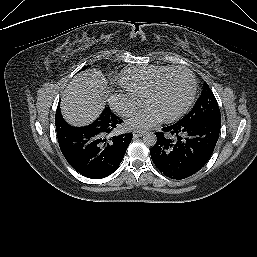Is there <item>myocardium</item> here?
I'll return each mask as SVG.
<instances>
[{
  "instance_id": "myocardium-1",
  "label": "myocardium",
  "mask_w": 257,
  "mask_h": 257,
  "mask_svg": "<svg viewBox=\"0 0 257 257\" xmlns=\"http://www.w3.org/2000/svg\"><path fill=\"white\" fill-rule=\"evenodd\" d=\"M177 72H183L189 76L190 82H191L190 90H189V93H188V96H187L185 102L175 112L162 116L164 121L175 120L176 118L181 116L183 113H185L188 110V108L190 107V105L192 104L193 99L195 97V93H196V87H197V81H196L193 71L185 66H173V67L168 68L164 73H162L153 82V84L148 89V91L145 95V98H144V103L147 105L149 99L158 91V89L160 88L162 83L166 80V78Z\"/></svg>"
}]
</instances>
